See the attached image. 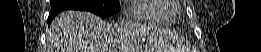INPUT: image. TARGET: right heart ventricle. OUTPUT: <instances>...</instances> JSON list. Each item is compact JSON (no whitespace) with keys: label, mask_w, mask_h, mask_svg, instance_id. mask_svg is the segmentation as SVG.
<instances>
[{"label":"right heart ventricle","mask_w":261,"mask_h":52,"mask_svg":"<svg viewBox=\"0 0 261 52\" xmlns=\"http://www.w3.org/2000/svg\"><path fill=\"white\" fill-rule=\"evenodd\" d=\"M131 21L143 23H170L174 10L168 0H135L128 9Z\"/></svg>","instance_id":"e07e8e85"}]
</instances>
